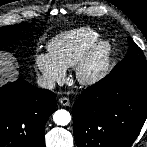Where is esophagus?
<instances>
[{
    "label": "esophagus",
    "mask_w": 147,
    "mask_h": 147,
    "mask_svg": "<svg viewBox=\"0 0 147 147\" xmlns=\"http://www.w3.org/2000/svg\"><path fill=\"white\" fill-rule=\"evenodd\" d=\"M59 102L63 106H69L70 105V101H69V99L67 97H61L59 99Z\"/></svg>",
    "instance_id": "obj_1"
}]
</instances>
